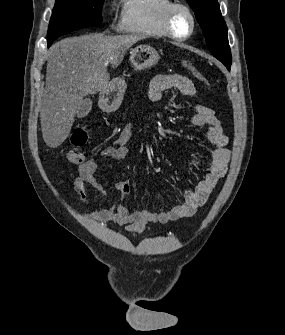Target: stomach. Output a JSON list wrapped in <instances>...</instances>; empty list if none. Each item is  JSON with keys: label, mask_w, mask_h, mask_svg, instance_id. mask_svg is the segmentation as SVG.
<instances>
[{"label": "stomach", "mask_w": 285, "mask_h": 335, "mask_svg": "<svg viewBox=\"0 0 285 335\" xmlns=\"http://www.w3.org/2000/svg\"><path fill=\"white\" fill-rule=\"evenodd\" d=\"M160 56L151 46H137L130 52V62L135 70H148L158 64ZM126 90L123 78H115L104 88L100 96V104H105L108 110H116L121 104Z\"/></svg>", "instance_id": "0dacf381"}]
</instances>
